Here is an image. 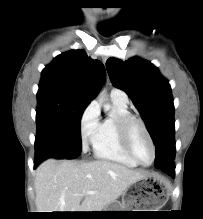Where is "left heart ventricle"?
I'll use <instances>...</instances> for the list:
<instances>
[{
    "mask_svg": "<svg viewBox=\"0 0 203 219\" xmlns=\"http://www.w3.org/2000/svg\"><path fill=\"white\" fill-rule=\"evenodd\" d=\"M132 148L142 163H150L153 158L151 145L140 127H135L132 133Z\"/></svg>",
    "mask_w": 203,
    "mask_h": 219,
    "instance_id": "left-heart-ventricle-1",
    "label": "left heart ventricle"
}]
</instances>
